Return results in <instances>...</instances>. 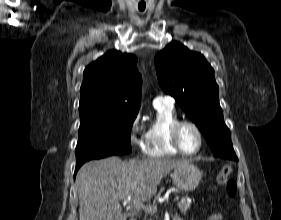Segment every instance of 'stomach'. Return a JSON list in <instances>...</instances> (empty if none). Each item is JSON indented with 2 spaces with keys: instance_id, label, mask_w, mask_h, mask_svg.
<instances>
[{
  "instance_id": "0dacf381",
  "label": "stomach",
  "mask_w": 281,
  "mask_h": 220,
  "mask_svg": "<svg viewBox=\"0 0 281 220\" xmlns=\"http://www.w3.org/2000/svg\"><path fill=\"white\" fill-rule=\"evenodd\" d=\"M201 178L200 169L193 164L177 167L172 173L174 185L183 191L194 190L199 185Z\"/></svg>"
}]
</instances>
